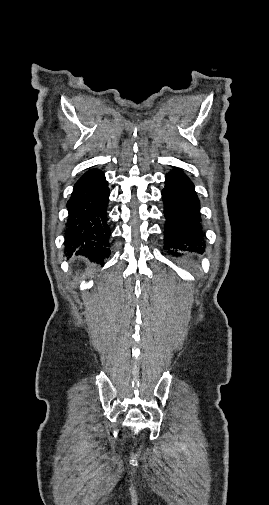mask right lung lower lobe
<instances>
[{
  "label": "right lung lower lobe",
  "mask_w": 269,
  "mask_h": 505,
  "mask_svg": "<svg viewBox=\"0 0 269 505\" xmlns=\"http://www.w3.org/2000/svg\"><path fill=\"white\" fill-rule=\"evenodd\" d=\"M108 196L109 189L102 171L89 170L76 182L67 202V255L75 253L99 262L109 255Z\"/></svg>",
  "instance_id": "1"
}]
</instances>
